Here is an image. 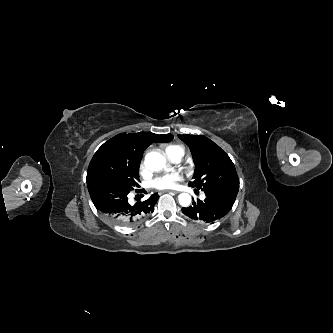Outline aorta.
<instances>
[{
	"instance_id": "aorta-1",
	"label": "aorta",
	"mask_w": 333,
	"mask_h": 333,
	"mask_svg": "<svg viewBox=\"0 0 333 333\" xmlns=\"http://www.w3.org/2000/svg\"><path fill=\"white\" fill-rule=\"evenodd\" d=\"M166 160L164 156L158 152H149L145 156V165L150 170H161L165 167ZM181 206L187 207L191 203V196L188 193H182L178 196Z\"/></svg>"
}]
</instances>
